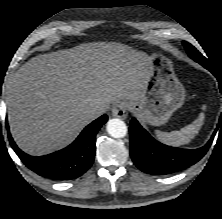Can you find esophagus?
Instances as JSON below:
<instances>
[{
    "instance_id": "1",
    "label": "esophagus",
    "mask_w": 222,
    "mask_h": 219,
    "mask_svg": "<svg viewBox=\"0 0 222 219\" xmlns=\"http://www.w3.org/2000/svg\"><path fill=\"white\" fill-rule=\"evenodd\" d=\"M112 115L122 120L126 119L128 115L126 105L122 102L117 103L112 109Z\"/></svg>"
}]
</instances>
